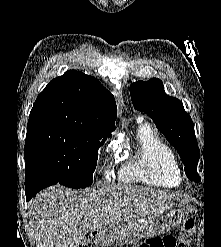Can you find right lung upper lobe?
Masks as SVG:
<instances>
[{
    "label": "right lung upper lobe",
    "mask_w": 221,
    "mask_h": 247,
    "mask_svg": "<svg viewBox=\"0 0 221 247\" xmlns=\"http://www.w3.org/2000/svg\"><path fill=\"white\" fill-rule=\"evenodd\" d=\"M113 95L94 77L69 70L38 95L28 129L61 127L107 138L115 129Z\"/></svg>",
    "instance_id": "obj_1"
}]
</instances>
